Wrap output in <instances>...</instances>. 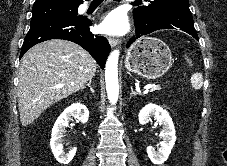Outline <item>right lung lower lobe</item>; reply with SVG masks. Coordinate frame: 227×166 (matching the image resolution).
<instances>
[{
	"label": "right lung lower lobe",
	"instance_id": "1",
	"mask_svg": "<svg viewBox=\"0 0 227 166\" xmlns=\"http://www.w3.org/2000/svg\"><path fill=\"white\" fill-rule=\"evenodd\" d=\"M91 21L83 16L51 17L31 23L27 33L20 58L34 45L50 40L64 39L79 44L87 50L103 69L110 45L105 37L95 36L90 32Z\"/></svg>",
	"mask_w": 227,
	"mask_h": 166
}]
</instances>
